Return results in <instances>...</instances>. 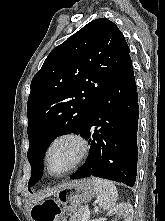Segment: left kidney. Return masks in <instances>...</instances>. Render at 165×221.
Returning a JSON list of instances; mask_svg holds the SVG:
<instances>
[{
  "label": "left kidney",
  "mask_w": 165,
  "mask_h": 221,
  "mask_svg": "<svg viewBox=\"0 0 165 221\" xmlns=\"http://www.w3.org/2000/svg\"><path fill=\"white\" fill-rule=\"evenodd\" d=\"M133 206L130 203H120L109 210L108 216L116 214L123 218V221H133Z\"/></svg>",
  "instance_id": "left-kidney-1"
}]
</instances>
